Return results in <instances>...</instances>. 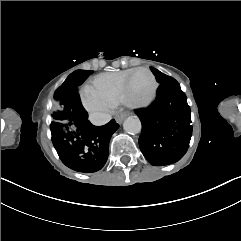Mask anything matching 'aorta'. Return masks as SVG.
<instances>
[{
  "label": "aorta",
  "instance_id": "762f6f07",
  "mask_svg": "<svg viewBox=\"0 0 241 241\" xmlns=\"http://www.w3.org/2000/svg\"><path fill=\"white\" fill-rule=\"evenodd\" d=\"M123 128L128 134H138L141 131V121L136 117H128L123 123Z\"/></svg>",
  "mask_w": 241,
  "mask_h": 241
}]
</instances>
